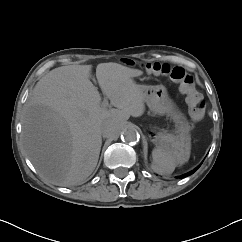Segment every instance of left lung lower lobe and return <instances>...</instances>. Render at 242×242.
Returning <instances> with one entry per match:
<instances>
[{
    "instance_id": "1",
    "label": "left lung lower lobe",
    "mask_w": 242,
    "mask_h": 242,
    "mask_svg": "<svg viewBox=\"0 0 242 242\" xmlns=\"http://www.w3.org/2000/svg\"><path fill=\"white\" fill-rule=\"evenodd\" d=\"M195 171H196V169H195L194 171L190 172L189 174L184 175L182 178L191 175V174L194 173Z\"/></svg>"
}]
</instances>
